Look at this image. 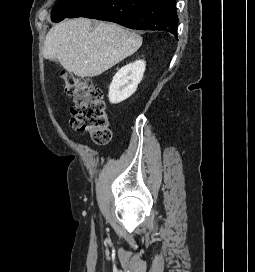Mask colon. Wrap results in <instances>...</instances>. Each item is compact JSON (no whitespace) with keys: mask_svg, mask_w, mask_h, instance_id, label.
Segmentation results:
<instances>
[{"mask_svg":"<svg viewBox=\"0 0 255 272\" xmlns=\"http://www.w3.org/2000/svg\"><path fill=\"white\" fill-rule=\"evenodd\" d=\"M64 92L73 97L70 124L79 133H87L99 145L111 139L110 117L107 113L102 91L86 78L70 72L62 75Z\"/></svg>","mask_w":255,"mask_h":272,"instance_id":"5ec220e1","label":"colon"}]
</instances>
